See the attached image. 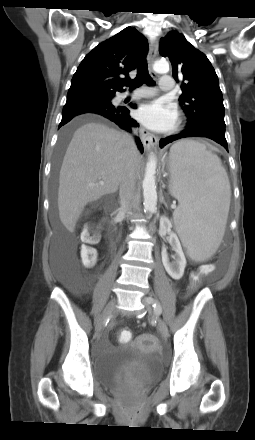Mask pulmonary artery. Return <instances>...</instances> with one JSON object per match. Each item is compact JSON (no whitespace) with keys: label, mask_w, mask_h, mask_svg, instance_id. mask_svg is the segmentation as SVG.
<instances>
[{"label":"pulmonary artery","mask_w":255,"mask_h":440,"mask_svg":"<svg viewBox=\"0 0 255 440\" xmlns=\"http://www.w3.org/2000/svg\"><path fill=\"white\" fill-rule=\"evenodd\" d=\"M159 84H160V89L165 92L171 91L174 87V81L172 76L170 75H163L160 78ZM154 94H155V90L153 88H143L131 94L125 93L123 97L125 98L130 96L132 98H142V97H150L153 96Z\"/></svg>","instance_id":"e3ab8cb5"}]
</instances>
